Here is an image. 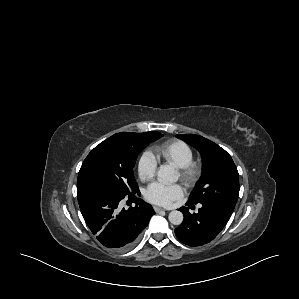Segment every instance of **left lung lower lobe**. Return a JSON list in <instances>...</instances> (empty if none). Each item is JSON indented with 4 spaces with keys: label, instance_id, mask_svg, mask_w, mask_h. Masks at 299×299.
Masks as SVG:
<instances>
[{
    "label": "left lung lower lobe",
    "instance_id": "obj_1",
    "mask_svg": "<svg viewBox=\"0 0 299 299\" xmlns=\"http://www.w3.org/2000/svg\"><path fill=\"white\" fill-rule=\"evenodd\" d=\"M180 211L184 214V220L175 229V234L182 243L192 247L211 242L232 215L215 204H202L197 214H190L186 207L180 208Z\"/></svg>",
    "mask_w": 299,
    "mask_h": 299
}]
</instances>
